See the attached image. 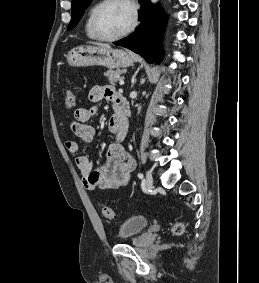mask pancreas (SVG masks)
Segmentation results:
<instances>
[{
	"instance_id": "1",
	"label": "pancreas",
	"mask_w": 259,
	"mask_h": 283,
	"mask_svg": "<svg viewBox=\"0 0 259 283\" xmlns=\"http://www.w3.org/2000/svg\"><path fill=\"white\" fill-rule=\"evenodd\" d=\"M122 74V70H108L104 73V76L108 78L110 84L115 85L117 81L120 80V75Z\"/></svg>"
}]
</instances>
